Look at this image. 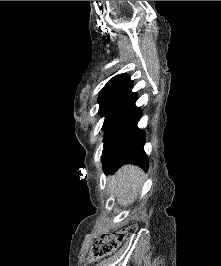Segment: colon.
<instances>
[{
    "mask_svg": "<svg viewBox=\"0 0 221 266\" xmlns=\"http://www.w3.org/2000/svg\"><path fill=\"white\" fill-rule=\"evenodd\" d=\"M136 230V226L123 227L115 232L106 233L95 241L91 251V258L98 259L115 251L126 237Z\"/></svg>",
    "mask_w": 221,
    "mask_h": 266,
    "instance_id": "1",
    "label": "colon"
}]
</instances>
